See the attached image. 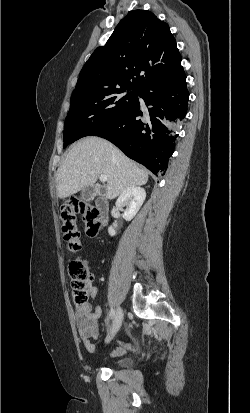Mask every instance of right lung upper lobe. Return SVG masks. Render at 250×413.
I'll return each mask as SVG.
<instances>
[{"label":"right lung upper lobe","instance_id":"1","mask_svg":"<svg viewBox=\"0 0 250 413\" xmlns=\"http://www.w3.org/2000/svg\"><path fill=\"white\" fill-rule=\"evenodd\" d=\"M168 24L146 10L129 12L85 63L73 94L144 84L184 70ZM141 74V75H140Z\"/></svg>","mask_w":250,"mask_h":413}]
</instances>
